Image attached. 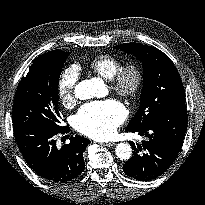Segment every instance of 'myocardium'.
<instances>
[{
  "label": "myocardium",
  "mask_w": 205,
  "mask_h": 205,
  "mask_svg": "<svg viewBox=\"0 0 205 205\" xmlns=\"http://www.w3.org/2000/svg\"><path fill=\"white\" fill-rule=\"evenodd\" d=\"M144 72L136 63L122 65L110 80L112 90L123 98H134L142 90Z\"/></svg>",
  "instance_id": "myocardium-1"
}]
</instances>
